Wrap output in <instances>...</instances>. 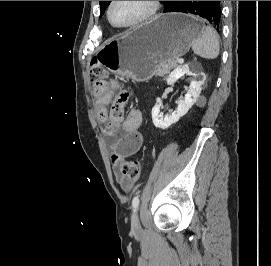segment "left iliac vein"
Wrapping results in <instances>:
<instances>
[{
  "label": "left iliac vein",
  "instance_id": "obj_1",
  "mask_svg": "<svg viewBox=\"0 0 271 266\" xmlns=\"http://www.w3.org/2000/svg\"><path fill=\"white\" fill-rule=\"evenodd\" d=\"M131 228L134 232H138L141 230L140 220L137 212L133 213L131 220Z\"/></svg>",
  "mask_w": 271,
  "mask_h": 266
}]
</instances>
